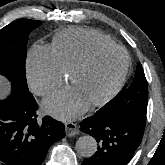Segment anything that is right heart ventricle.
<instances>
[{
    "label": "right heart ventricle",
    "instance_id": "e07e8e85",
    "mask_svg": "<svg viewBox=\"0 0 165 165\" xmlns=\"http://www.w3.org/2000/svg\"><path fill=\"white\" fill-rule=\"evenodd\" d=\"M107 44L115 42L97 30L73 27L57 33L50 47L63 70L69 73L92 48Z\"/></svg>",
    "mask_w": 165,
    "mask_h": 165
}]
</instances>
